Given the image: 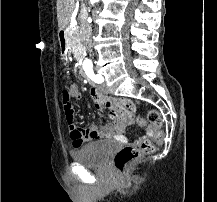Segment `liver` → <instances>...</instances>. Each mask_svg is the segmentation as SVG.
<instances>
[{
  "label": "liver",
  "instance_id": "obj_1",
  "mask_svg": "<svg viewBox=\"0 0 217 202\" xmlns=\"http://www.w3.org/2000/svg\"><path fill=\"white\" fill-rule=\"evenodd\" d=\"M75 8L74 0H57V22L59 30L66 28Z\"/></svg>",
  "mask_w": 217,
  "mask_h": 202
}]
</instances>
